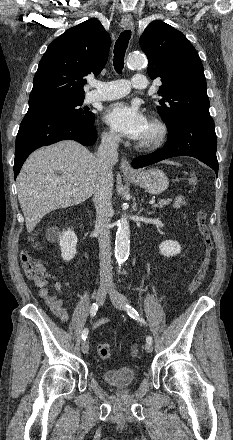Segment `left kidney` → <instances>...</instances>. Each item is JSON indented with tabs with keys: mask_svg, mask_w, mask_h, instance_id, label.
I'll return each mask as SVG.
<instances>
[{
	"mask_svg": "<svg viewBox=\"0 0 233 440\" xmlns=\"http://www.w3.org/2000/svg\"><path fill=\"white\" fill-rule=\"evenodd\" d=\"M160 253L166 257L175 256L181 252V246L177 241L166 240L159 246Z\"/></svg>",
	"mask_w": 233,
	"mask_h": 440,
	"instance_id": "1",
	"label": "left kidney"
}]
</instances>
